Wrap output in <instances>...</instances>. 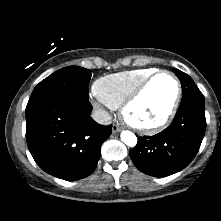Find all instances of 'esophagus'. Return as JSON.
<instances>
[{"instance_id": "1", "label": "esophagus", "mask_w": 221, "mask_h": 221, "mask_svg": "<svg viewBox=\"0 0 221 221\" xmlns=\"http://www.w3.org/2000/svg\"><path fill=\"white\" fill-rule=\"evenodd\" d=\"M112 130L114 133L120 132L121 127L119 126V124H113Z\"/></svg>"}]
</instances>
